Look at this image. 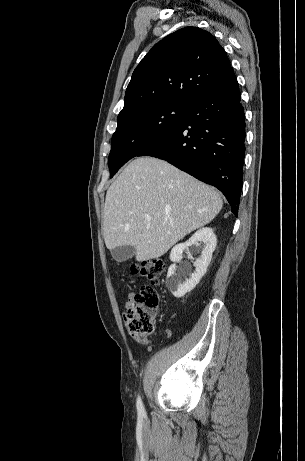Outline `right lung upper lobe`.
I'll return each instance as SVG.
<instances>
[{
  "label": "right lung upper lobe",
  "instance_id": "right-lung-upper-lobe-1",
  "mask_svg": "<svg viewBox=\"0 0 305 461\" xmlns=\"http://www.w3.org/2000/svg\"><path fill=\"white\" fill-rule=\"evenodd\" d=\"M234 75L211 33L182 28L154 45L136 67L118 119L161 103L189 104Z\"/></svg>",
  "mask_w": 305,
  "mask_h": 461
}]
</instances>
